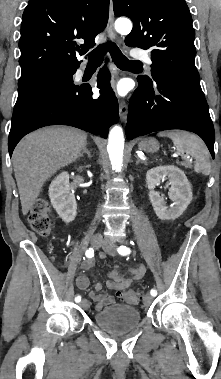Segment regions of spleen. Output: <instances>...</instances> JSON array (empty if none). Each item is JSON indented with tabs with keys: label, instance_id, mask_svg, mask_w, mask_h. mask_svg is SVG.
Here are the masks:
<instances>
[{
	"label": "spleen",
	"instance_id": "obj_1",
	"mask_svg": "<svg viewBox=\"0 0 221 379\" xmlns=\"http://www.w3.org/2000/svg\"><path fill=\"white\" fill-rule=\"evenodd\" d=\"M160 137H169L176 150L194 159V170L207 176L211 172L209 151L203 141L194 134L185 131L158 133Z\"/></svg>",
	"mask_w": 221,
	"mask_h": 379
}]
</instances>
